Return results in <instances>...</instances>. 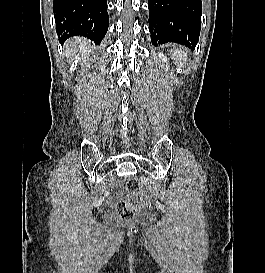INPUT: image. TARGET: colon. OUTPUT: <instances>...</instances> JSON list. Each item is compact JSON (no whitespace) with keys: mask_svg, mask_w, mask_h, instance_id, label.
<instances>
[{"mask_svg":"<svg viewBox=\"0 0 265 273\" xmlns=\"http://www.w3.org/2000/svg\"><path fill=\"white\" fill-rule=\"evenodd\" d=\"M126 186L128 196L118 203L117 211L121 219L132 220L140 214L147 196L136 178H130Z\"/></svg>","mask_w":265,"mask_h":273,"instance_id":"colon-1","label":"colon"}]
</instances>
